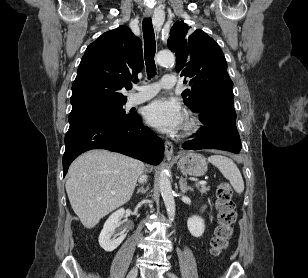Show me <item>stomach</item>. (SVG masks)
Listing matches in <instances>:
<instances>
[{
	"instance_id": "0dacf381",
	"label": "stomach",
	"mask_w": 308,
	"mask_h": 278,
	"mask_svg": "<svg viewBox=\"0 0 308 278\" xmlns=\"http://www.w3.org/2000/svg\"><path fill=\"white\" fill-rule=\"evenodd\" d=\"M177 167L184 174L202 176L207 171V161L203 155L190 152L181 156L177 163Z\"/></svg>"
}]
</instances>
